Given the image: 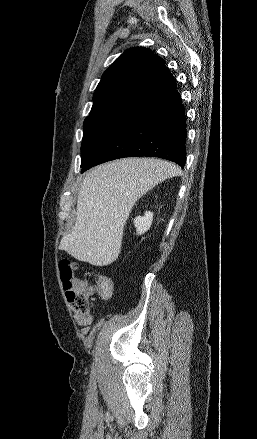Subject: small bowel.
Returning a JSON list of instances; mask_svg holds the SVG:
<instances>
[{"mask_svg": "<svg viewBox=\"0 0 257 439\" xmlns=\"http://www.w3.org/2000/svg\"><path fill=\"white\" fill-rule=\"evenodd\" d=\"M75 320L79 325L83 326V332L87 333L89 330V326L92 324L94 317L92 315L81 316L79 314H75Z\"/></svg>", "mask_w": 257, "mask_h": 439, "instance_id": "obj_1", "label": "small bowel"}]
</instances>
